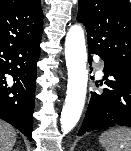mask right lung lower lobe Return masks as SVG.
I'll list each match as a JSON object with an SVG mask.
<instances>
[{"instance_id":"obj_1","label":"right lung lower lobe","mask_w":131,"mask_h":151,"mask_svg":"<svg viewBox=\"0 0 131 151\" xmlns=\"http://www.w3.org/2000/svg\"><path fill=\"white\" fill-rule=\"evenodd\" d=\"M40 41L15 46L0 45V119L31 140L35 106L36 64ZM15 81L9 86L5 75Z\"/></svg>"}]
</instances>
